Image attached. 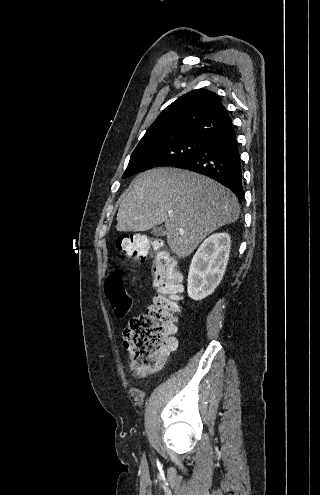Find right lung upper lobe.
I'll return each mask as SVG.
<instances>
[{
	"label": "right lung upper lobe",
	"mask_w": 320,
	"mask_h": 495,
	"mask_svg": "<svg viewBox=\"0 0 320 495\" xmlns=\"http://www.w3.org/2000/svg\"><path fill=\"white\" fill-rule=\"evenodd\" d=\"M231 118L220 97L196 89L167 106L137 146H150L185 138H204L229 125Z\"/></svg>",
	"instance_id": "obj_1"
}]
</instances>
